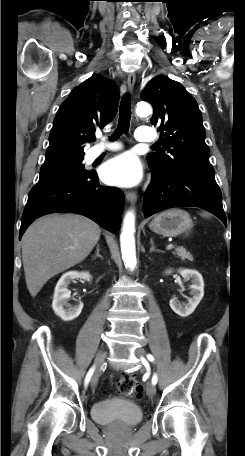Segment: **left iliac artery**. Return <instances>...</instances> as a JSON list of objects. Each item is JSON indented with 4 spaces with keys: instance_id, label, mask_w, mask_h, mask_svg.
I'll return each instance as SVG.
<instances>
[{
    "instance_id": "44dca946",
    "label": "left iliac artery",
    "mask_w": 245,
    "mask_h": 456,
    "mask_svg": "<svg viewBox=\"0 0 245 456\" xmlns=\"http://www.w3.org/2000/svg\"><path fill=\"white\" fill-rule=\"evenodd\" d=\"M147 359H148L149 361H151V362L154 361V357H153L151 354H148V355H147ZM157 380H158L157 375L154 374L153 377H152V383L155 385V384L157 383Z\"/></svg>"
}]
</instances>
